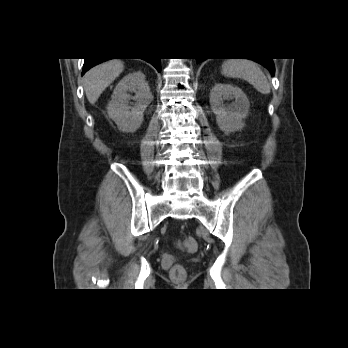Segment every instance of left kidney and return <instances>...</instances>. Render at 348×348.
Listing matches in <instances>:
<instances>
[{"instance_id":"obj_1","label":"left kidney","mask_w":348,"mask_h":348,"mask_svg":"<svg viewBox=\"0 0 348 348\" xmlns=\"http://www.w3.org/2000/svg\"><path fill=\"white\" fill-rule=\"evenodd\" d=\"M210 105L219 128L225 133L241 129L243 118L248 114L250 102L247 95L239 87L217 83L210 91ZM226 100H234L225 104Z\"/></svg>"}]
</instances>
